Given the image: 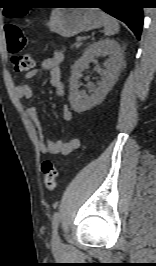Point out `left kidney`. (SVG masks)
<instances>
[{"mask_svg":"<svg viewBox=\"0 0 156 266\" xmlns=\"http://www.w3.org/2000/svg\"><path fill=\"white\" fill-rule=\"evenodd\" d=\"M107 55L104 62L106 70L98 88L88 96L79 92V79L89 63L97 56ZM123 62V51L120 44L113 39H101L89 45L83 55L72 66L70 77L69 101L75 112H84L101 103L119 76Z\"/></svg>","mask_w":156,"mask_h":266,"instance_id":"5707ae66","label":"left kidney"}]
</instances>
